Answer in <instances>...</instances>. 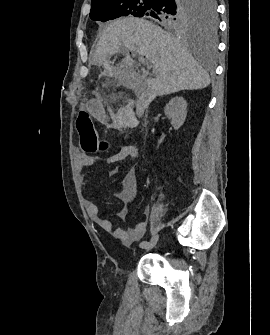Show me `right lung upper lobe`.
Here are the masks:
<instances>
[{
    "mask_svg": "<svg viewBox=\"0 0 270 335\" xmlns=\"http://www.w3.org/2000/svg\"><path fill=\"white\" fill-rule=\"evenodd\" d=\"M107 0H91V7L95 5H99L103 2H106Z\"/></svg>",
    "mask_w": 270,
    "mask_h": 335,
    "instance_id": "1",
    "label": "right lung upper lobe"
}]
</instances>
